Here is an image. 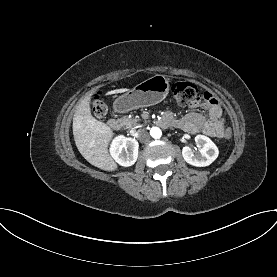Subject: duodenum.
I'll return each instance as SVG.
<instances>
[{
    "label": "duodenum",
    "mask_w": 277,
    "mask_h": 277,
    "mask_svg": "<svg viewBox=\"0 0 277 277\" xmlns=\"http://www.w3.org/2000/svg\"><path fill=\"white\" fill-rule=\"evenodd\" d=\"M123 123L120 119L112 118L108 121V127L112 130H119Z\"/></svg>",
    "instance_id": "duodenum-1"
}]
</instances>
